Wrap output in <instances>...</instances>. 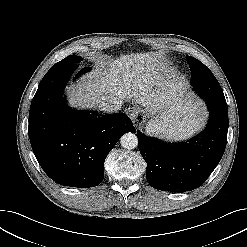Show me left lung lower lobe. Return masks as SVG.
<instances>
[{"instance_id":"obj_1","label":"left lung lower lobe","mask_w":247,"mask_h":247,"mask_svg":"<svg viewBox=\"0 0 247 247\" xmlns=\"http://www.w3.org/2000/svg\"><path fill=\"white\" fill-rule=\"evenodd\" d=\"M191 85L207 103L206 129L182 143H164L137 131L139 151L147 163L146 178L155 189L182 193L200 187L220 162L226 147L228 108L221 86L205 66Z\"/></svg>"}]
</instances>
